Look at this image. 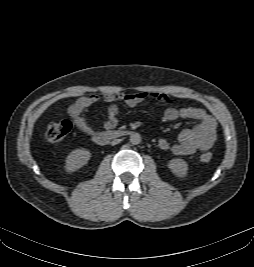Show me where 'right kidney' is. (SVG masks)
<instances>
[{
    "instance_id": "right-kidney-1",
    "label": "right kidney",
    "mask_w": 254,
    "mask_h": 267,
    "mask_svg": "<svg viewBox=\"0 0 254 267\" xmlns=\"http://www.w3.org/2000/svg\"><path fill=\"white\" fill-rule=\"evenodd\" d=\"M91 153L84 148L75 149L66 158V171L74 172L87 164Z\"/></svg>"
}]
</instances>
